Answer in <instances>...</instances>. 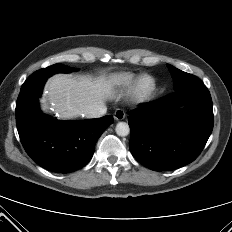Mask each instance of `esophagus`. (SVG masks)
Returning <instances> with one entry per match:
<instances>
[{"label":"esophagus","instance_id":"esophagus-1","mask_svg":"<svg viewBox=\"0 0 232 232\" xmlns=\"http://www.w3.org/2000/svg\"><path fill=\"white\" fill-rule=\"evenodd\" d=\"M126 114L124 112V110L122 109H116V111L114 112V118L116 120H123L125 118Z\"/></svg>","mask_w":232,"mask_h":232}]
</instances>
